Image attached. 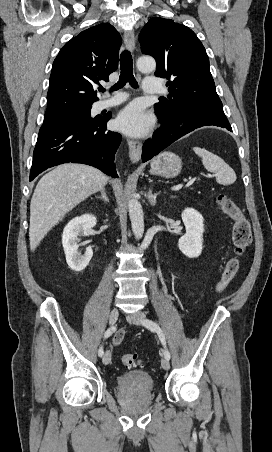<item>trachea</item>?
Instances as JSON below:
<instances>
[{"mask_svg":"<svg viewBox=\"0 0 272 452\" xmlns=\"http://www.w3.org/2000/svg\"><path fill=\"white\" fill-rule=\"evenodd\" d=\"M120 77L119 81L112 86L111 90L116 91L122 88L127 82L134 87L137 88L138 84L133 75V62L131 53L128 50H124L120 55ZM100 92H105L104 88L99 89Z\"/></svg>","mask_w":272,"mask_h":452,"instance_id":"obj_1","label":"trachea"}]
</instances>
